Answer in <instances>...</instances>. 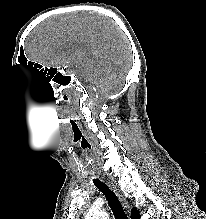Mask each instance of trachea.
Wrapping results in <instances>:
<instances>
[{"instance_id":"obj_1","label":"trachea","mask_w":206,"mask_h":219,"mask_svg":"<svg viewBox=\"0 0 206 219\" xmlns=\"http://www.w3.org/2000/svg\"><path fill=\"white\" fill-rule=\"evenodd\" d=\"M94 185L103 193L108 201V204L113 212L115 219H128L121 202L118 197L106 184L99 181V179H93Z\"/></svg>"}]
</instances>
